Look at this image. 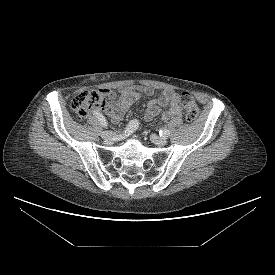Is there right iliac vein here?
<instances>
[{"mask_svg": "<svg viewBox=\"0 0 275 275\" xmlns=\"http://www.w3.org/2000/svg\"><path fill=\"white\" fill-rule=\"evenodd\" d=\"M101 137L106 141H111L115 137V133L112 131H105V132H102Z\"/></svg>", "mask_w": 275, "mask_h": 275, "instance_id": "obj_1", "label": "right iliac vein"}]
</instances>
